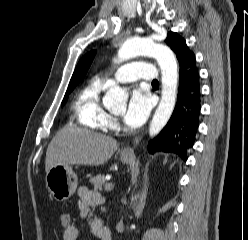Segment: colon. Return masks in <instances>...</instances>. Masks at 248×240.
Returning <instances> with one entry per match:
<instances>
[{
	"label": "colon",
	"instance_id": "1",
	"mask_svg": "<svg viewBox=\"0 0 248 240\" xmlns=\"http://www.w3.org/2000/svg\"><path fill=\"white\" fill-rule=\"evenodd\" d=\"M59 223L62 229H66L72 225V216L68 212H62L59 216Z\"/></svg>",
	"mask_w": 248,
	"mask_h": 240
}]
</instances>
